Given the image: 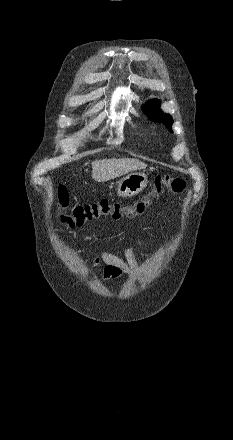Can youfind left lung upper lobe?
Here are the masks:
<instances>
[{"label": "left lung upper lobe", "instance_id": "left-lung-upper-lobe-1", "mask_svg": "<svg viewBox=\"0 0 233 440\" xmlns=\"http://www.w3.org/2000/svg\"><path fill=\"white\" fill-rule=\"evenodd\" d=\"M160 101L152 100L147 104L142 106L144 113L149 116L150 120L155 122H161L166 125L170 132H173L171 126L173 124V119L169 114H163L159 108Z\"/></svg>", "mask_w": 233, "mask_h": 440}]
</instances>
